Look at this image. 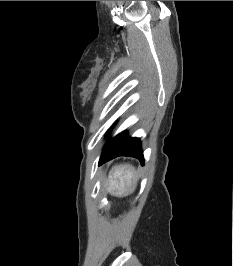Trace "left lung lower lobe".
I'll return each mask as SVG.
<instances>
[{
	"mask_svg": "<svg viewBox=\"0 0 233 266\" xmlns=\"http://www.w3.org/2000/svg\"><path fill=\"white\" fill-rule=\"evenodd\" d=\"M117 156H131L140 160L144 165V156L139 138L128 137L127 132H122L112 138L104 147L99 160V165Z\"/></svg>",
	"mask_w": 233,
	"mask_h": 266,
	"instance_id": "1",
	"label": "left lung lower lobe"
}]
</instances>
